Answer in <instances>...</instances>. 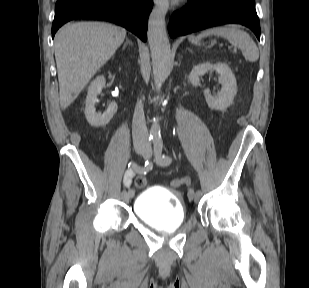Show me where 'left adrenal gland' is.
Returning a JSON list of instances; mask_svg holds the SVG:
<instances>
[{
    "mask_svg": "<svg viewBox=\"0 0 309 288\" xmlns=\"http://www.w3.org/2000/svg\"><path fill=\"white\" fill-rule=\"evenodd\" d=\"M187 50H188V51H190V52H192V50H191V49H189V48H187Z\"/></svg>",
    "mask_w": 309,
    "mask_h": 288,
    "instance_id": "1",
    "label": "left adrenal gland"
}]
</instances>
